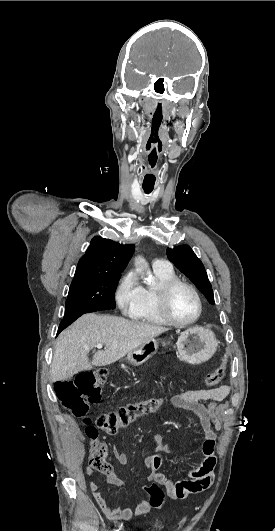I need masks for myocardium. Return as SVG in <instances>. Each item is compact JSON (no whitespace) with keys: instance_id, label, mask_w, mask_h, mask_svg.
Segmentation results:
<instances>
[{"instance_id":"myocardium-1","label":"myocardium","mask_w":275,"mask_h":531,"mask_svg":"<svg viewBox=\"0 0 275 531\" xmlns=\"http://www.w3.org/2000/svg\"><path fill=\"white\" fill-rule=\"evenodd\" d=\"M177 286H183L186 289H188L193 294L196 300V303H197V313L192 319L188 321L177 320L170 313V310H169V297H170L172 290ZM157 304H158V309L161 315L164 317V319L168 323L175 325V326H180V327H185V326L194 324L200 319L202 312H203L202 300L200 298V295L197 289L192 284L184 280L178 279V278H173L157 286Z\"/></svg>"}]
</instances>
